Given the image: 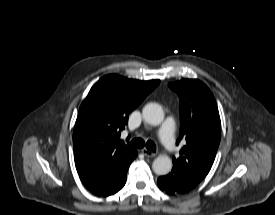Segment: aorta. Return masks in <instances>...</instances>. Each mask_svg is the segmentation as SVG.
<instances>
[{
  "mask_svg": "<svg viewBox=\"0 0 275 215\" xmlns=\"http://www.w3.org/2000/svg\"><path fill=\"white\" fill-rule=\"evenodd\" d=\"M143 119L150 125H160L164 119V111L157 103H148L142 111ZM152 169L157 175H166L172 169V161L166 155L158 156L152 163Z\"/></svg>",
  "mask_w": 275,
  "mask_h": 215,
  "instance_id": "obj_1",
  "label": "aorta"
}]
</instances>
